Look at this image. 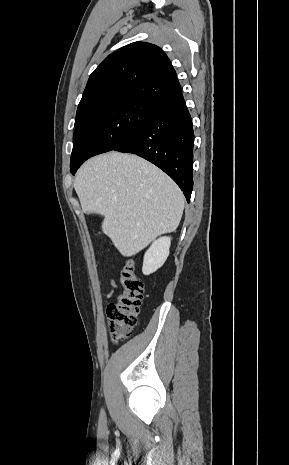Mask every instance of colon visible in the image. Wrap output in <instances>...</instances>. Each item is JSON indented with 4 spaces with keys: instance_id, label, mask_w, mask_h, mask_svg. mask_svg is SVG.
<instances>
[{
    "instance_id": "1",
    "label": "colon",
    "mask_w": 289,
    "mask_h": 465,
    "mask_svg": "<svg viewBox=\"0 0 289 465\" xmlns=\"http://www.w3.org/2000/svg\"><path fill=\"white\" fill-rule=\"evenodd\" d=\"M120 292L107 308L110 335L113 342L130 336L137 323V317L143 298L144 284L135 274L132 260L127 261L118 275Z\"/></svg>"
}]
</instances>
